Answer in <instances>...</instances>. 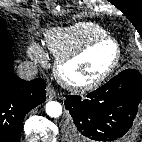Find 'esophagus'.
Wrapping results in <instances>:
<instances>
[{
  "mask_svg": "<svg viewBox=\"0 0 142 142\" xmlns=\"http://www.w3.org/2000/svg\"><path fill=\"white\" fill-rule=\"evenodd\" d=\"M55 95H56V93H55L54 89L48 87V88H47V98H48L49 100H51V99H53V98L55 97Z\"/></svg>",
  "mask_w": 142,
  "mask_h": 142,
  "instance_id": "esophagus-1",
  "label": "esophagus"
}]
</instances>
